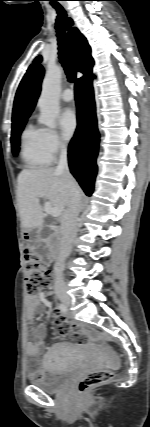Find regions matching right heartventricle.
Returning a JSON list of instances; mask_svg holds the SVG:
<instances>
[{"label":"right heart ventricle","instance_id":"1","mask_svg":"<svg viewBox=\"0 0 150 427\" xmlns=\"http://www.w3.org/2000/svg\"><path fill=\"white\" fill-rule=\"evenodd\" d=\"M20 157L27 168L37 169L50 163L43 147L42 129L27 125L20 135Z\"/></svg>","mask_w":150,"mask_h":427}]
</instances>
